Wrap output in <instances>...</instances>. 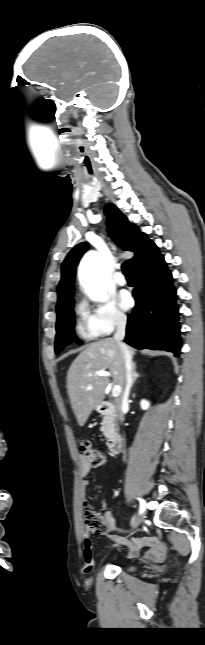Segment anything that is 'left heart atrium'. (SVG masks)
Returning a JSON list of instances; mask_svg holds the SVG:
<instances>
[{"instance_id": "obj_1", "label": "left heart atrium", "mask_w": 205, "mask_h": 645, "mask_svg": "<svg viewBox=\"0 0 205 645\" xmlns=\"http://www.w3.org/2000/svg\"><path fill=\"white\" fill-rule=\"evenodd\" d=\"M120 304L124 309H129L133 305V299L129 293H122L120 296Z\"/></svg>"}]
</instances>
